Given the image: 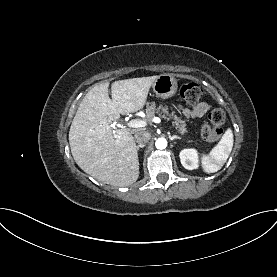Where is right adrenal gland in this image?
Wrapping results in <instances>:
<instances>
[{"instance_id": "2a0ac1e0", "label": "right adrenal gland", "mask_w": 277, "mask_h": 277, "mask_svg": "<svg viewBox=\"0 0 277 277\" xmlns=\"http://www.w3.org/2000/svg\"><path fill=\"white\" fill-rule=\"evenodd\" d=\"M144 147H145V145H138L137 146V151H139L140 148H144Z\"/></svg>"}]
</instances>
